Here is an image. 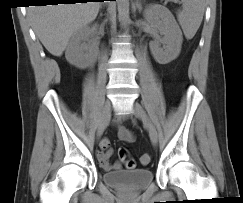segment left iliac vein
<instances>
[{
  "label": "left iliac vein",
  "instance_id": "4c4485c4",
  "mask_svg": "<svg viewBox=\"0 0 243 203\" xmlns=\"http://www.w3.org/2000/svg\"><path fill=\"white\" fill-rule=\"evenodd\" d=\"M132 112L138 119H140L145 124L148 129L152 144L156 145L158 142L157 130L143 107L138 102H134L132 105Z\"/></svg>",
  "mask_w": 243,
  "mask_h": 203
}]
</instances>
